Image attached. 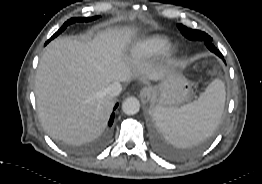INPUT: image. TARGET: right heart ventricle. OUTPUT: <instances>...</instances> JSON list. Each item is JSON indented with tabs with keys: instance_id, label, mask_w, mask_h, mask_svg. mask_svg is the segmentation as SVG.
I'll list each match as a JSON object with an SVG mask.
<instances>
[{
	"instance_id": "obj_1",
	"label": "right heart ventricle",
	"mask_w": 262,
	"mask_h": 184,
	"mask_svg": "<svg viewBox=\"0 0 262 184\" xmlns=\"http://www.w3.org/2000/svg\"><path fill=\"white\" fill-rule=\"evenodd\" d=\"M169 40L163 36H150L137 42L131 49V57L143 60L166 51Z\"/></svg>"
}]
</instances>
